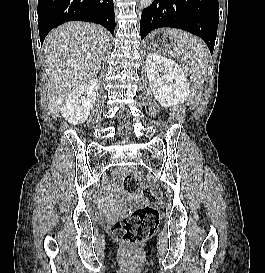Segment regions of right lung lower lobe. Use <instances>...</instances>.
Returning a JSON list of instances; mask_svg holds the SVG:
<instances>
[{"label":"right lung lower lobe","mask_w":265,"mask_h":273,"mask_svg":"<svg viewBox=\"0 0 265 273\" xmlns=\"http://www.w3.org/2000/svg\"><path fill=\"white\" fill-rule=\"evenodd\" d=\"M41 44L51 29L67 21H87L104 26L114 34L113 0H38Z\"/></svg>","instance_id":"obj_1"}]
</instances>
